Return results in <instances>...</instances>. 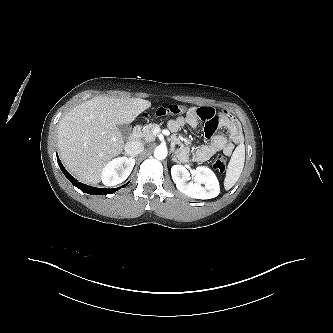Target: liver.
Returning a JSON list of instances; mask_svg holds the SVG:
<instances>
[{
    "instance_id": "1",
    "label": "liver",
    "mask_w": 333,
    "mask_h": 333,
    "mask_svg": "<svg viewBox=\"0 0 333 333\" xmlns=\"http://www.w3.org/2000/svg\"><path fill=\"white\" fill-rule=\"evenodd\" d=\"M151 102L140 98L94 97L72 109L58 125V148L79 181L98 184L106 163L124 148L118 124H129Z\"/></svg>"
}]
</instances>
